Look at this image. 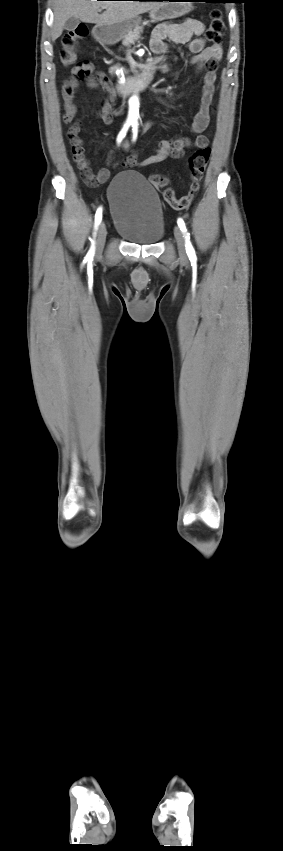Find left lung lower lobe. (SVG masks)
<instances>
[{"label": "left lung lower lobe", "instance_id": "1", "mask_svg": "<svg viewBox=\"0 0 283 851\" xmlns=\"http://www.w3.org/2000/svg\"><path fill=\"white\" fill-rule=\"evenodd\" d=\"M158 1H163V0H158ZM198 1H204V2H221V0H198Z\"/></svg>", "mask_w": 283, "mask_h": 851}]
</instances>
